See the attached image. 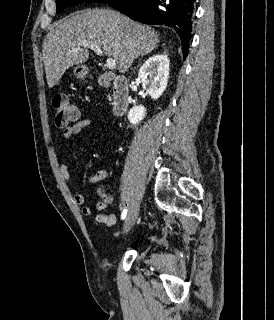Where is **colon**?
Returning a JSON list of instances; mask_svg holds the SVG:
<instances>
[{
  "label": "colon",
  "mask_w": 274,
  "mask_h": 320,
  "mask_svg": "<svg viewBox=\"0 0 274 320\" xmlns=\"http://www.w3.org/2000/svg\"><path fill=\"white\" fill-rule=\"evenodd\" d=\"M52 107L54 109L53 119L55 124L64 130L66 127H73V121L80 119L78 107L69 102L65 93H58L53 97ZM95 188L101 192L104 188V183L96 182ZM103 198L108 200L107 195H104Z\"/></svg>",
  "instance_id": "1"
}]
</instances>
